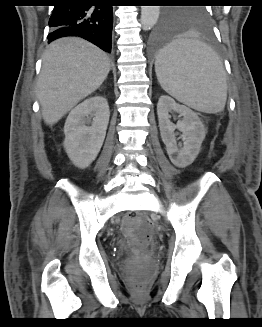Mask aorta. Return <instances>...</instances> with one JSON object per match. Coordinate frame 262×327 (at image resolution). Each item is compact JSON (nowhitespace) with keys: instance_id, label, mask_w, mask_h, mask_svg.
<instances>
[{"instance_id":"obj_1","label":"aorta","mask_w":262,"mask_h":327,"mask_svg":"<svg viewBox=\"0 0 262 327\" xmlns=\"http://www.w3.org/2000/svg\"><path fill=\"white\" fill-rule=\"evenodd\" d=\"M160 15L159 6L141 7V25L144 30H150L157 22Z\"/></svg>"}]
</instances>
